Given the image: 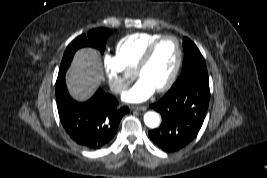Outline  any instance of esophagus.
<instances>
[{"instance_id": "1", "label": "esophagus", "mask_w": 267, "mask_h": 178, "mask_svg": "<svg viewBox=\"0 0 267 178\" xmlns=\"http://www.w3.org/2000/svg\"><path fill=\"white\" fill-rule=\"evenodd\" d=\"M131 109L136 110V111H144L147 109V107L146 106H133Z\"/></svg>"}]
</instances>
